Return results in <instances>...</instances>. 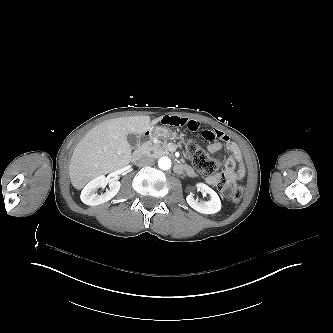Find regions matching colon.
Segmentation results:
<instances>
[{"mask_svg": "<svg viewBox=\"0 0 333 333\" xmlns=\"http://www.w3.org/2000/svg\"><path fill=\"white\" fill-rule=\"evenodd\" d=\"M184 147L189 159L201 173L213 175L220 169L221 163L210 157L196 141L188 140ZM216 185L225 198L234 202L242 200L244 191L240 185L236 184V173L234 171H230L227 175L221 177Z\"/></svg>", "mask_w": 333, "mask_h": 333, "instance_id": "colon-1", "label": "colon"}]
</instances>
